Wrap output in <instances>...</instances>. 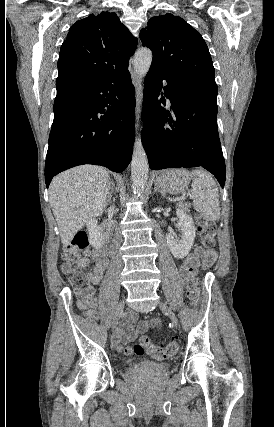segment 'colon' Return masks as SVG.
I'll list each match as a JSON object with an SVG mask.
<instances>
[{
  "label": "colon",
  "mask_w": 274,
  "mask_h": 427,
  "mask_svg": "<svg viewBox=\"0 0 274 427\" xmlns=\"http://www.w3.org/2000/svg\"><path fill=\"white\" fill-rule=\"evenodd\" d=\"M200 221L201 243L188 257L182 268V278L188 289V296L193 308L196 307L202 295L197 278L198 266L201 265V259H203L204 254H211L212 248H215V223L205 218H200ZM89 245L90 238L87 231L84 229H75L72 231L70 234V243L66 247L64 262L62 264L63 272L69 276L70 280L81 292L89 289V275L77 264V259L79 251ZM178 349L179 344L177 341H171L163 346H155L147 338H143L135 345L125 347L124 352L134 357L150 355L157 360H166L175 356Z\"/></svg>",
  "instance_id": "obj_1"
}]
</instances>
